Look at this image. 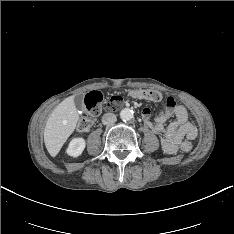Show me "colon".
<instances>
[{"label": "colon", "mask_w": 234, "mask_h": 234, "mask_svg": "<svg viewBox=\"0 0 234 234\" xmlns=\"http://www.w3.org/2000/svg\"><path fill=\"white\" fill-rule=\"evenodd\" d=\"M131 96L155 102L162 99L161 93L156 90H135L131 92ZM122 106L123 99L120 95H113L106 99L99 92L88 94L84 101V114L78 122L77 131L79 133L88 131L93 125V118L102 111H117ZM181 148L185 152H190L192 145L189 141H185L182 143Z\"/></svg>", "instance_id": "obj_1"}]
</instances>
